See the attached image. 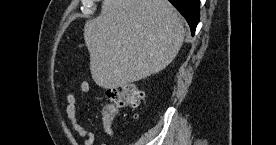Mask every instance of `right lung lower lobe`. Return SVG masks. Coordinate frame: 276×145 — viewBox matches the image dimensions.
<instances>
[{
  "instance_id": "right-lung-lower-lobe-1",
  "label": "right lung lower lobe",
  "mask_w": 276,
  "mask_h": 145,
  "mask_svg": "<svg viewBox=\"0 0 276 145\" xmlns=\"http://www.w3.org/2000/svg\"><path fill=\"white\" fill-rule=\"evenodd\" d=\"M174 7L184 16L194 35L200 18V0H169Z\"/></svg>"
}]
</instances>
